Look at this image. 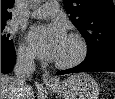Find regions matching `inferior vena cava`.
Wrapping results in <instances>:
<instances>
[{
	"mask_svg": "<svg viewBox=\"0 0 115 99\" xmlns=\"http://www.w3.org/2000/svg\"><path fill=\"white\" fill-rule=\"evenodd\" d=\"M35 71L34 57L30 54L21 52L17 54V60L14 67V93L16 99H24L29 88L26 80Z\"/></svg>",
	"mask_w": 115,
	"mask_h": 99,
	"instance_id": "obj_1",
	"label": "inferior vena cava"
}]
</instances>
